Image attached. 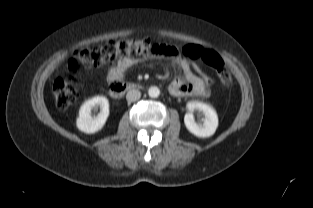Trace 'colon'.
Instances as JSON below:
<instances>
[{
    "label": "colon",
    "mask_w": 313,
    "mask_h": 208,
    "mask_svg": "<svg viewBox=\"0 0 313 208\" xmlns=\"http://www.w3.org/2000/svg\"><path fill=\"white\" fill-rule=\"evenodd\" d=\"M164 51L165 47L162 44L149 37L112 40L98 47L87 46L75 50L68 62V68L70 72H74L82 66L94 64L99 60L111 59L120 54L157 55ZM184 55L190 62L201 61L210 66L217 72L224 86H231L232 80L230 74L217 53L190 45L184 49ZM197 70L206 80L207 84L212 87L214 83L213 79L200 69ZM80 87L81 82L73 73L58 77L53 84V95L56 105L59 108L69 106L76 99Z\"/></svg>",
    "instance_id": "colon-1"
}]
</instances>
